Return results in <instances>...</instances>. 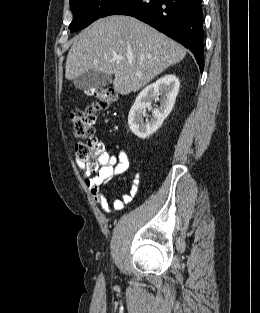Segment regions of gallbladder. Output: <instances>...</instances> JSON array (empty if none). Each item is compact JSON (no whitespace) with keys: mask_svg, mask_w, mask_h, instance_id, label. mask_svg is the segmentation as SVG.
<instances>
[{"mask_svg":"<svg viewBox=\"0 0 260 313\" xmlns=\"http://www.w3.org/2000/svg\"><path fill=\"white\" fill-rule=\"evenodd\" d=\"M112 76L100 71H88L74 80V85L80 90L101 88L112 83Z\"/></svg>","mask_w":260,"mask_h":313,"instance_id":"1","label":"gallbladder"}]
</instances>
